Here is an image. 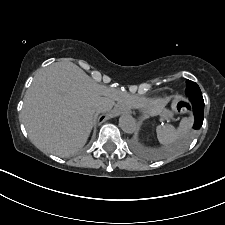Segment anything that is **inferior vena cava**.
Listing matches in <instances>:
<instances>
[{"instance_id":"1","label":"inferior vena cava","mask_w":225,"mask_h":225,"mask_svg":"<svg viewBox=\"0 0 225 225\" xmlns=\"http://www.w3.org/2000/svg\"><path fill=\"white\" fill-rule=\"evenodd\" d=\"M105 109H106V107H105V106H103V105L98 106V110H99V111H105Z\"/></svg>"}]
</instances>
